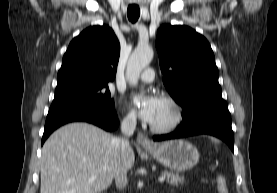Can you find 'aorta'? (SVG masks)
I'll use <instances>...</instances> for the list:
<instances>
[{
	"label": "aorta",
	"instance_id": "obj_1",
	"mask_svg": "<svg viewBox=\"0 0 277 193\" xmlns=\"http://www.w3.org/2000/svg\"><path fill=\"white\" fill-rule=\"evenodd\" d=\"M153 55L150 47H139L131 54L126 67V79L130 85H137L140 73L149 65ZM134 103L138 104L139 100H134Z\"/></svg>",
	"mask_w": 277,
	"mask_h": 193
}]
</instances>
